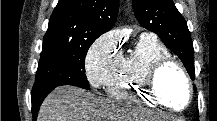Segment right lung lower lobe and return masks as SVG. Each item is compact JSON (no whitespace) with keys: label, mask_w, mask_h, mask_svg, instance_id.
<instances>
[{"label":"right lung lower lobe","mask_w":217,"mask_h":121,"mask_svg":"<svg viewBox=\"0 0 217 121\" xmlns=\"http://www.w3.org/2000/svg\"><path fill=\"white\" fill-rule=\"evenodd\" d=\"M54 88H56V87H52V88L44 91L43 93L32 96L33 121H35L37 118L38 111H39L40 105L42 104L43 100Z\"/></svg>","instance_id":"obj_1"}]
</instances>
